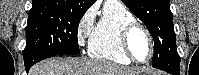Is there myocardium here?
I'll use <instances>...</instances> for the list:
<instances>
[{"mask_svg":"<svg viewBox=\"0 0 199 75\" xmlns=\"http://www.w3.org/2000/svg\"><path fill=\"white\" fill-rule=\"evenodd\" d=\"M135 29H139L144 32V34L146 35V37L149 41V45H150V53H149L147 59L142 62L138 61L134 57V55L132 54V52L130 50V46H129L130 35ZM120 41H121V45L123 47L125 54L128 56V58L132 62H134L136 64H141V65L147 64L151 60V58L154 54L155 46H154V41H153L152 35H151L150 31L148 30V28L144 24L138 22L137 20L128 22L127 24H125L122 27V29L120 31Z\"/></svg>","mask_w":199,"mask_h":75,"instance_id":"f54148a6","label":"myocardium"}]
</instances>
